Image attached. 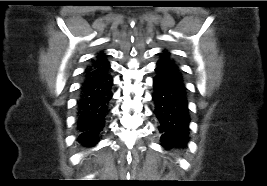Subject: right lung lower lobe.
Returning a JSON list of instances; mask_svg holds the SVG:
<instances>
[{
	"label": "right lung lower lobe",
	"instance_id": "98d812e1",
	"mask_svg": "<svg viewBox=\"0 0 267 186\" xmlns=\"http://www.w3.org/2000/svg\"><path fill=\"white\" fill-rule=\"evenodd\" d=\"M113 79L106 60L85 69L76 105V125L83 145L93 146L105 126Z\"/></svg>",
	"mask_w": 267,
	"mask_h": 186
}]
</instances>
